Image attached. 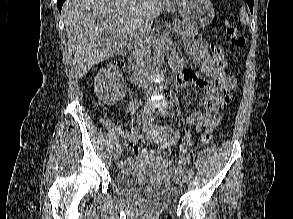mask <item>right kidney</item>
<instances>
[{
  "mask_svg": "<svg viewBox=\"0 0 293 219\" xmlns=\"http://www.w3.org/2000/svg\"><path fill=\"white\" fill-rule=\"evenodd\" d=\"M126 84L117 66L110 65L99 70L94 78V92L105 103H112L121 97Z\"/></svg>",
  "mask_w": 293,
  "mask_h": 219,
  "instance_id": "obj_1",
  "label": "right kidney"
}]
</instances>
